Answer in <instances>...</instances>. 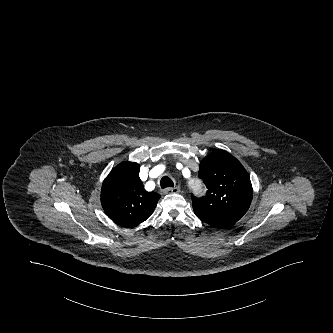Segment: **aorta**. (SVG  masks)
<instances>
[{"label": "aorta", "mask_w": 333, "mask_h": 333, "mask_svg": "<svg viewBox=\"0 0 333 333\" xmlns=\"http://www.w3.org/2000/svg\"><path fill=\"white\" fill-rule=\"evenodd\" d=\"M191 188H192V192L195 195L203 196L206 193V188H205L204 181L202 180V178H200L198 176L192 178Z\"/></svg>", "instance_id": "1"}]
</instances>
